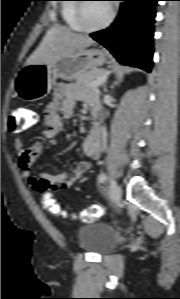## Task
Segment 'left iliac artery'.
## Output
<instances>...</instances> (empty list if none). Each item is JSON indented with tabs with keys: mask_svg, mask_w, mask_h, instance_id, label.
Wrapping results in <instances>:
<instances>
[{
	"mask_svg": "<svg viewBox=\"0 0 180 299\" xmlns=\"http://www.w3.org/2000/svg\"><path fill=\"white\" fill-rule=\"evenodd\" d=\"M106 180V174L102 173L99 177V183H103Z\"/></svg>",
	"mask_w": 180,
	"mask_h": 299,
	"instance_id": "left-iliac-artery-1",
	"label": "left iliac artery"
}]
</instances>
